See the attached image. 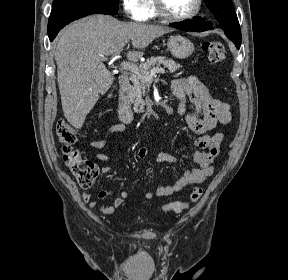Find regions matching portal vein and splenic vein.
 Instances as JSON below:
<instances>
[{
	"label": "portal vein and splenic vein",
	"instance_id": "1",
	"mask_svg": "<svg viewBox=\"0 0 288 280\" xmlns=\"http://www.w3.org/2000/svg\"><path fill=\"white\" fill-rule=\"evenodd\" d=\"M120 54V51L114 53L112 55V58H115L117 57L118 55ZM102 59L104 60H107V57L105 56H102ZM122 69L124 70H127V71H130L132 73H136L138 74L139 73V68L137 65L133 64V63H130V62H122L120 63ZM158 73H161V74H164L165 73V70L163 68H154L152 69L150 72H144V75H143V78L146 80V81H150L156 74Z\"/></svg>",
	"mask_w": 288,
	"mask_h": 280
}]
</instances>
